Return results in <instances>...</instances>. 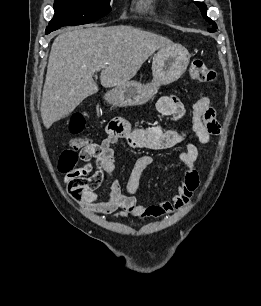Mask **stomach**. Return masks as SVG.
I'll return each mask as SVG.
<instances>
[{
  "label": "stomach",
  "instance_id": "obj_1",
  "mask_svg": "<svg viewBox=\"0 0 261 306\" xmlns=\"http://www.w3.org/2000/svg\"><path fill=\"white\" fill-rule=\"evenodd\" d=\"M190 55L185 47L172 43L161 47L153 57L150 83L137 81L117 85L107 91L104 99L113 106H138L148 102L158 91L159 86L178 80L186 71Z\"/></svg>",
  "mask_w": 261,
  "mask_h": 306
}]
</instances>
